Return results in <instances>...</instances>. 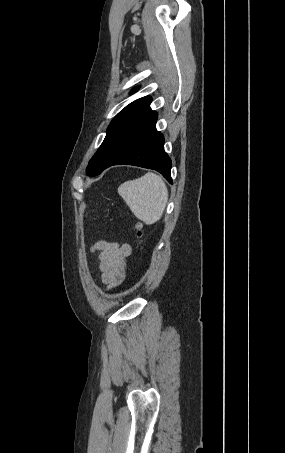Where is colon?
I'll use <instances>...</instances> for the list:
<instances>
[{
    "mask_svg": "<svg viewBox=\"0 0 285 453\" xmlns=\"http://www.w3.org/2000/svg\"><path fill=\"white\" fill-rule=\"evenodd\" d=\"M135 230L137 238L141 240L143 237L142 225L140 223H137L135 225Z\"/></svg>",
    "mask_w": 285,
    "mask_h": 453,
    "instance_id": "obj_1",
    "label": "colon"
}]
</instances>
